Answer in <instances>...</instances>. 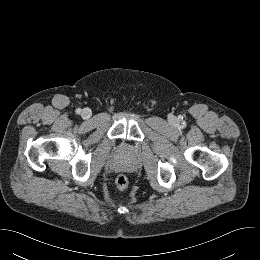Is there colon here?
<instances>
[{
    "instance_id": "colon-1",
    "label": "colon",
    "mask_w": 260,
    "mask_h": 260,
    "mask_svg": "<svg viewBox=\"0 0 260 260\" xmlns=\"http://www.w3.org/2000/svg\"><path fill=\"white\" fill-rule=\"evenodd\" d=\"M115 184L119 190H125L129 186V180L125 175H119L116 178Z\"/></svg>"
}]
</instances>
